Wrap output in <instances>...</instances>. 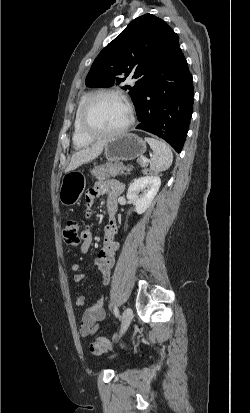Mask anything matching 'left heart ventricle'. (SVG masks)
Instances as JSON below:
<instances>
[{
	"label": "left heart ventricle",
	"instance_id": "obj_1",
	"mask_svg": "<svg viewBox=\"0 0 250 413\" xmlns=\"http://www.w3.org/2000/svg\"><path fill=\"white\" fill-rule=\"evenodd\" d=\"M129 119L125 103L114 96H101L89 113L91 127L100 132H112L122 128Z\"/></svg>",
	"mask_w": 250,
	"mask_h": 413
}]
</instances>
